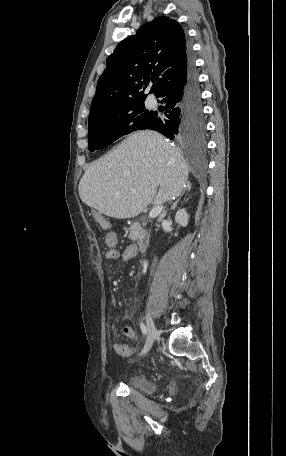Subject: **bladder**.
I'll list each match as a JSON object with an SVG mask.
<instances>
[{"instance_id": "bladder-1", "label": "bladder", "mask_w": 286, "mask_h": 456, "mask_svg": "<svg viewBox=\"0 0 286 456\" xmlns=\"http://www.w3.org/2000/svg\"><path fill=\"white\" fill-rule=\"evenodd\" d=\"M127 385L140 390L144 394H152L156 391L154 381L144 375H133L126 379Z\"/></svg>"}]
</instances>
